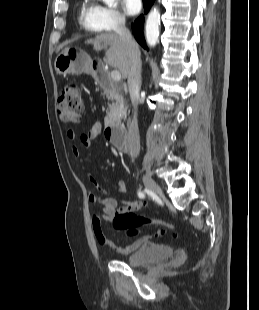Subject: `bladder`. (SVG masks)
<instances>
[{"mask_svg": "<svg viewBox=\"0 0 259 310\" xmlns=\"http://www.w3.org/2000/svg\"><path fill=\"white\" fill-rule=\"evenodd\" d=\"M171 246L162 244H147L124 258V262L132 267L147 266L167 260L173 256Z\"/></svg>", "mask_w": 259, "mask_h": 310, "instance_id": "bladder-1", "label": "bladder"}]
</instances>
